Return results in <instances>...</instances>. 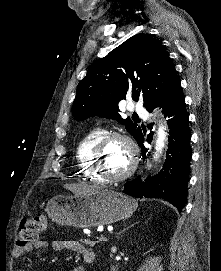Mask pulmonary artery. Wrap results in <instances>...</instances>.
Wrapping results in <instances>:
<instances>
[{
    "instance_id": "pulmonary-artery-1",
    "label": "pulmonary artery",
    "mask_w": 221,
    "mask_h": 271,
    "mask_svg": "<svg viewBox=\"0 0 221 271\" xmlns=\"http://www.w3.org/2000/svg\"><path fill=\"white\" fill-rule=\"evenodd\" d=\"M129 107H133L131 108V111L133 112H140L141 102H129Z\"/></svg>"
}]
</instances>
